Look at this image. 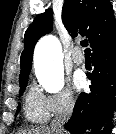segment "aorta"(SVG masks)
Masks as SVG:
<instances>
[{
  "label": "aorta",
  "instance_id": "aorta-1",
  "mask_svg": "<svg viewBox=\"0 0 116 134\" xmlns=\"http://www.w3.org/2000/svg\"><path fill=\"white\" fill-rule=\"evenodd\" d=\"M34 67L39 83L49 93L64 86L63 54L59 40L52 35L41 38L34 51Z\"/></svg>",
  "mask_w": 116,
  "mask_h": 134
}]
</instances>
